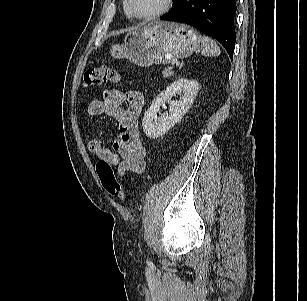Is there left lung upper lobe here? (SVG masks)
Returning <instances> with one entry per match:
<instances>
[{"label":"left lung upper lobe","instance_id":"left-lung-upper-lobe-1","mask_svg":"<svg viewBox=\"0 0 307 301\" xmlns=\"http://www.w3.org/2000/svg\"><path fill=\"white\" fill-rule=\"evenodd\" d=\"M173 1V9L177 6L180 0H172ZM172 9V10H173Z\"/></svg>","mask_w":307,"mask_h":301}]
</instances>
